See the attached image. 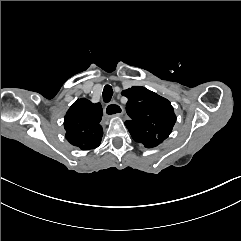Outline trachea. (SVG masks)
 <instances>
[{
	"label": "trachea",
	"instance_id": "obj_1",
	"mask_svg": "<svg viewBox=\"0 0 241 241\" xmlns=\"http://www.w3.org/2000/svg\"><path fill=\"white\" fill-rule=\"evenodd\" d=\"M112 95H113L112 87L109 84H106L104 86L103 93H102L104 102L108 103L111 100Z\"/></svg>",
	"mask_w": 241,
	"mask_h": 241
}]
</instances>
